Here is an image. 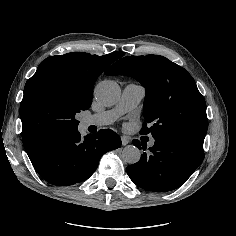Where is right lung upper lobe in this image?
<instances>
[{
    "mask_svg": "<svg viewBox=\"0 0 236 236\" xmlns=\"http://www.w3.org/2000/svg\"><path fill=\"white\" fill-rule=\"evenodd\" d=\"M123 55L122 53H112L97 56L73 52L50 56L40 63L36 73L27 81V84L38 78L49 77L69 82L81 93H92L98 76L108 65ZM41 148L30 149L25 147V150L29 158H32Z\"/></svg>",
    "mask_w": 236,
    "mask_h": 236,
    "instance_id": "obj_1",
    "label": "right lung upper lobe"
}]
</instances>
